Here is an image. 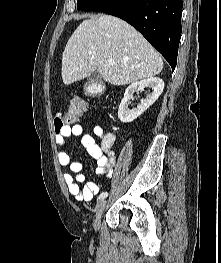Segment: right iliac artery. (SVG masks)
Masks as SVG:
<instances>
[{
    "instance_id": "right-iliac-artery-1",
    "label": "right iliac artery",
    "mask_w": 221,
    "mask_h": 263,
    "mask_svg": "<svg viewBox=\"0 0 221 263\" xmlns=\"http://www.w3.org/2000/svg\"><path fill=\"white\" fill-rule=\"evenodd\" d=\"M107 196H108V193H107V192H102V193L99 195L98 199H104V198H106Z\"/></svg>"
}]
</instances>
